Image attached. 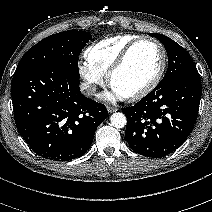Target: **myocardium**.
<instances>
[{
	"label": "myocardium",
	"instance_id": "f54148a6",
	"mask_svg": "<svg viewBox=\"0 0 212 212\" xmlns=\"http://www.w3.org/2000/svg\"><path fill=\"white\" fill-rule=\"evenodd\" d=\"M145 42L152 43L159 49V51L161 53L160 67H159L157 73L155 74V76L153 77V79L146 86H144L142 89L135 92L134 94L125 97L126 99H128L130 101H137V100H140L143 97L147 96L149 93H151L157 87V85L162 80V77L164 75V72H165L166 66H167V52H166L165 47L162 45V43L151 37H139V38L133 40L122 51L120 56L117 58V60L111 66V68L109 69V71L107 73L108 84L112 87L113 77L115 76V74L118 71H120L124 67V65L126 64L128 58H129L130 54L132 53V51L134 50V48L136 46H138L139 44L145 43Z\"/></svg>",
	"mask_w": 212,
	"mask_h": 212
}]
</instances>
